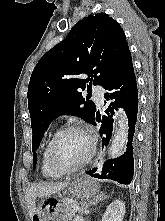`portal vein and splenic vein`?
<instances>
[{
    "mask_svg": "<svg viewBox=\"0 0 165 221\" xmlns=\"http://www.w3.org/2000/svg\"><path fill=\"white\" fill-rule=\"evenodd\" d=\"M73 209H74L75 211H77V210H80V207H79V205H74V206H73Z\"/></svg>",
    "mask_w": 165,
    "mask_h": 221,
    "instance_id": "18ae733b",
    "label": "portal vein and splenic vein"
}]
</instances>
